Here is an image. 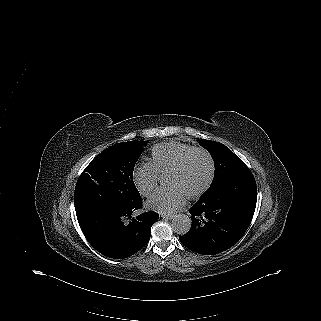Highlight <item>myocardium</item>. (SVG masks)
<instances>
[{"mask_svg": "<svg viewBox=\"0 0 321 321\" xmlns=\"http://www.w3.org/2000/svg\"><path fill=\"white\" fill-rule=\"evenodd\" d=\"M196 157H204L208 160L209 170L205 178L202 182L196 185H189L186 183V177L188 172L194 166V158ZM215 177V162L210 154L204 148H196L194 149L186 158V160L169 176L172 183L176 184L180 187L184 192H186L189 196H197L204 192L213 182Z\"/></svg>", "mask_w": 321, "mask_h": 321, "instance_id": "f54148a6", "label": "myocardium"}]
</instances>
